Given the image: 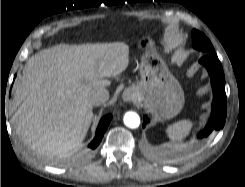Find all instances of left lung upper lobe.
Instances as JSON below:
<instances>
[{"instance_id": "5c2ea615", "label": "left lung upper lobe", "mask_w": 245, "mask_h": 187, "mask_svg": "<svg viewBox=\"0 0 245 187\" xmlns=\"http://www.w3.org/2000/svg\"><path fill=\"white\" fill-rule=\"evenodd\" d=\"M192 37H193V47L197 50H201L208 53H213L214 48L209 41V39L200 31L193 29L192 30Z\"/></svg>"}]
</instances>
